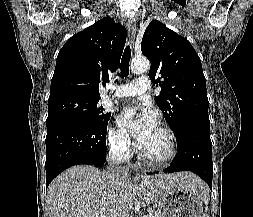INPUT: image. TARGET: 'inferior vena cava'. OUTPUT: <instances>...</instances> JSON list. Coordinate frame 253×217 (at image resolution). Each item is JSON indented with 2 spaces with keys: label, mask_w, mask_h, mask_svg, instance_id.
Here are the masks:
<instances>
[{
  "label": "inferior vena cava",
  "mask_w": 253,
  "mask_h": 217,
  "mask_svg": "<svg viewBox=\"0 0 253 217\" xmlns=\"http://www.w3.org/2000/svg\"><path fill=\"white\" fill-rule=\"evenodd\" d=\"M113 179L121 177L126 178L129 174V169L120 165L119 152L112 150L108 155V165L106 171Z\"/></svg>",
  "instance_id": "obj_1"
}]
</instances>
